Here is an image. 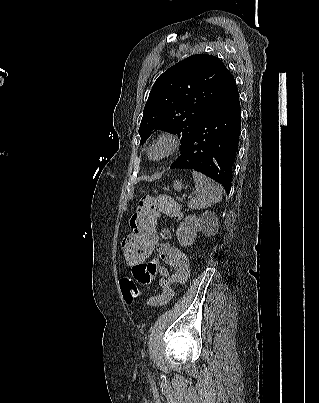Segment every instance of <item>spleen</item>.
Masks as SVG:
<instances>
[{"label": "spleen", "instance_id": "3e777b00", "mask_svg": "<svg viewBox=\"0 0 319 403\" xmlns=\"http://www.w3.org/2000/svg\"><path fill=\"white\" fill-rule=\"evenodd\" d=\"M192 175L198 195L188 203L189 208L203 209L222 200V190L218 184L200 172L193 171Z\"/></svg>", "mask_w": 319, "mask_h": 403}]
</instances>
